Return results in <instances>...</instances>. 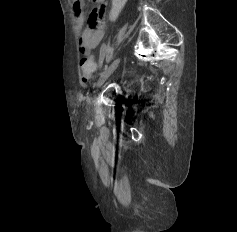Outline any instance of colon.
Masks as SVG:
<instances>
[{
	"label": "colon",
	"instance_id": "5ec220e1",
	"mask_svg": "<svg viewBox=\"0 0 237 232\" xmlns=\"http://www.w3.org/2000/svg\"><path fill=\"white\" fill-rule=\"evenodd\" d=\"M127 0H112V6L109 12V20L115 21L120 15L122 9L124 8ZM82 82L86 83L89 78L93 75L96 65L93 57L83 58L80 62Z\"/></svg>",
	"mask_w": 237,
	"mask_h": 232
}]
</instances>
